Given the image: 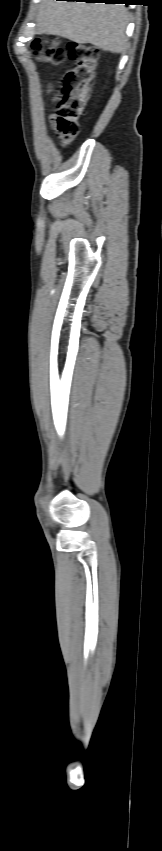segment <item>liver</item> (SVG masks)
Masks as SVG:
<instances>
[{
	"mask_svg": "<svg viewBox=\"0 0 162 851\" xmlns=\"http://www.w3.org/2000/svg\"><path fill=\"white\" fill-rule=\"evenodd\" d=\"M41 33L79 44H92L111 53L126 49L127 9L122 5L42 0L37 14Z\"/></svg>",
	"mask_w": 162,
	"mask_h": 851,
	"instance_id": "liver-1",
	"label": "liver"
}]
</instances>
